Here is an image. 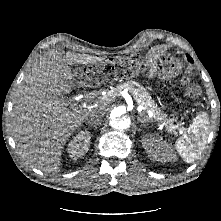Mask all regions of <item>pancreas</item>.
<instances>
[{
  "mask_svg": "<svg viewBox=\"0 0 221 221\" xmlns=\"http://www.w3.org/2000/svg\"><path fill=\"white\" fill-rule=\"evenodd\" d=\"M125 88L129 90V92L132 94L135 100L140 101V104L142 106L152 111L153 117L157 121L162 122V124H164L169 131H173L176 128V126L173 123L174 119H168L167 115L164 114L155 104V102L151 99L146 89L135 81H127L123 84H120L116 88H113L112 90L108 91L107 95L114 96L118 91H121Z\"/></svg>",
  "mask_w": 221,
  "mask_h": 221,
  "instance_id": "obj_1",
  "label": "pancreas"
}]
</instances>
